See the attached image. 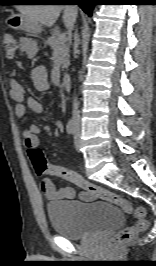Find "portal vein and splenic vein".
I'll return each mask as SVG.
<instances>
[{
	"mask_svg": "<svg viewBox=\"0 0 156 266\" xmlns=\"http://www.w3.org/2000/svg\"><path fill=\"white\" fill-rule=\"evenodd\" d=\"M60 37H61L62 39H65V38H66V35H65V34H60Z\"/></svg>",
	"mask_w": 156,
	"mask_h": 266,
	"instance_id": "obj_1",
	"label": "portal vein and splenic vein"
}]
</instances>
